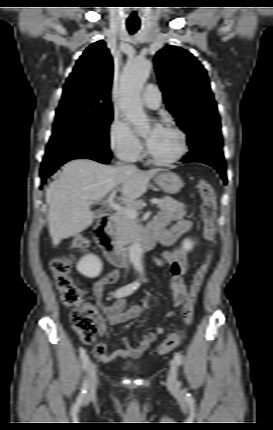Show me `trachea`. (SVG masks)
<instances>
[{
    "mask_svg": "<svg viewBox=\"0 0 273 430\" xmlns=\"http://www.w3.org/2000/svg\"><path fill=\"white\" fill-rule=\"evenodd\" d=\"M140 27L138 23H127V29L130 34H134Z\"/></svg>",
    "mask_w": 273,
    "mask_h": 430,
    "instance_id": "3493384b",
    "label": "trachea"
}]
</instances>
